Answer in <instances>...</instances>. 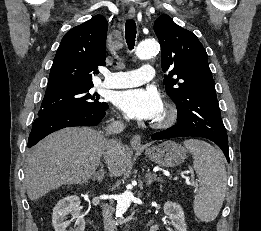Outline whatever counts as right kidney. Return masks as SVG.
Here are the masks:
<instances>
[{
	"label": "right kidney",
	"mask_w": 261,
	"mask_h": 231,
	"mask_svg": "<svg viewBox=\"0 0 261 231\" xmlns=\"http://www.w3.org/2000/svg\"><path fill=\"white\" fill-rule=\"evenodd\" d=\"M80 199L76 195L67 196L60 200L53 209L52 225L55 231H67L71 222L75 221V227L69 231H84L85 220L80 214ZM71 215L72 219L66 220Z\"/></svg>",
	"instance_id": "1"
}]
</instances>
